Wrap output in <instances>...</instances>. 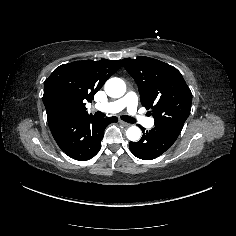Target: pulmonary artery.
<instances>
[{
	"instance_id": "obj_1",
	"label": "pulmonary artery",
	"mask_w": 236,
	"mask_h": 236,
	"mask_svg": "<svg viewBox=\"0 0 236 236\" xmlns=\"http://www.w3.org/2000/svg\"><path fill=\"white\" fill-rule=\"evenodd\" d=\"M137 105L138 98L127 94L118 100L106 103L103 110L107 113L114 114L126 108L129 114H132L135 120L143 127H150L153 124V119L150 116L143 115L140 111L136 110Z\"/></svg>"
}]
</instances>
